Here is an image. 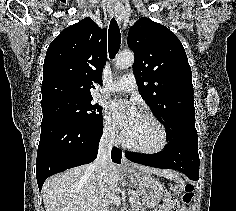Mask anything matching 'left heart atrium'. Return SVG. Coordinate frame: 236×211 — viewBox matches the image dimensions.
<instances>
[{
  "mask_svg": "<svg viewBox=\"0 0 236 211\" xmlns=\"http://www.w3.org/2000/svg\"><path fill=\"white\" fill-rule=\"evenodd\" d=\"M139 112L133 105H128L122 101H114L110 103L108 108V116L117 124L124 132H126L139 117Z\"/></svg>",
  "mask_w": 236,
  "mask_h": 211,
  "instance_id": "obj_1",
  "label": "left heart atrium"
}]
</instances>
